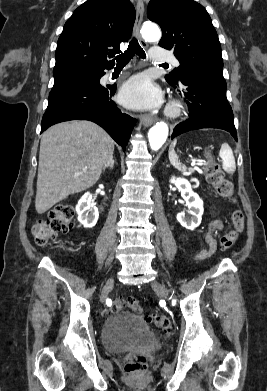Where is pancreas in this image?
Here are the masks:
<instances>
[{
	"instance_id": "obj_1",
	"label": "pancreas",
	"mask_w": 267,
	"mask_h": 391,
	"mask_svg": "<svg viewBox=\"0 0 267 391\" xmlns=\"http://www.w3.org/2000/svg\"><path fill=\"white\" fill-rule=\"evenodd\" d=\"M189 172L190 173L194 172V169L193 168H189Z\"/></svg>"
}]
</instances>
